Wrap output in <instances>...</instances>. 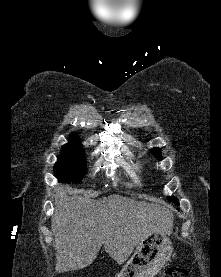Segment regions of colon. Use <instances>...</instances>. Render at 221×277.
Wrapping results in <instances>:
<instances>
[{
  "mask_svg": "<svg viewBox=\"0 0 221 277\" xmlns=\"http://www.w3.org/2000/svg\"><path fill=\"white\" fill-rule=\"evenodd\" d=\"M162 277H188V271L182 267H169L164 271Z\"/></svg>",
  "mask_w": 221,
  "mask_h": 277,
  "instance_id": "colon-1",
  "label": "colon"
}]
</instances>
